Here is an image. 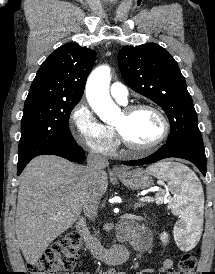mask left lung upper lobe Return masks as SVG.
<instances>
[{"label":"left lung upper lobe","mask_w":215,"mask_h":274,"mask_svg":"<svg viewBox=\"0 0 215 274\" xmlns=\"http://www.w3.org/2000/svg\"><path fill=\"white\" fill-rule=\"evenodd\" d=\"M118 61L126 84L167 114L171 126L167 143L204 146L185 79L164 48L155 43L125 46L119 51Z\"/></svg>","instance_id":"obj_1"}]
</instances>
